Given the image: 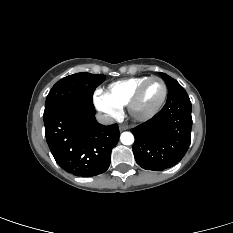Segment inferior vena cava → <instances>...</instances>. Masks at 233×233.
<instances>
[{"label":"inferior vena cava","mask_w":233,"mask_h":233,"mask_svg":"<svg viewBox=\"0 0 233 233\" xmlns=\"http://www.w3.org/2000/svg\"><path fill=\"white\" fill-rule=\"evenodd\" d=\"M96 119L99 123L104 124V125H110V124H113L114 122L113 118L107 115L101 114V113H98L96 115Z\"/></svg>","instance_id":"602c4592"}]
</instances>
